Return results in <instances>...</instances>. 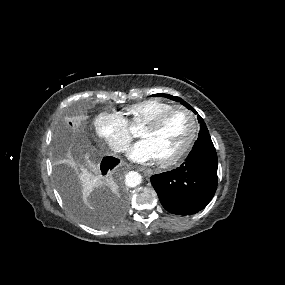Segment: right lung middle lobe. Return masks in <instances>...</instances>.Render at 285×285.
<instances>
[{
  "instance_id": "right-lung-middle-lobe-1",
  "label": "right lung middle lobe",
  "mask_w": 285,
  "mask_h": 285,
  "mask_svg": "<svg viewBox=\"0 0 285 285\" xmlns=\"http://www.w3.org/2000/svg\"><path fill=\"white\" fill-rule=\"evenodd\" d=\"M58 145L59 144H57V147ZM56 180L64 201L76 215H78L87 223L97 227H104L108 225L107 221H103L99 218H94L83 210L80 204L75 182L68 174L67 168L61 164L57 165Z\"/></svg>"
}]
</instances>
